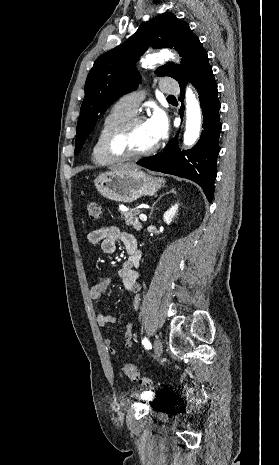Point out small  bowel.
<instances>
[{"instance_id": "c3829d8e", "label": "small bowel", "mask_w": 279, "mask_h": 465, "mask_svg": "<svg viewBox=\"0 0 279 465\" xmlns=\"http://www.w3.org/2000/svg\"><path fill=\"white\" fill-rule=\"evenodd\" d=\"M87 242L89 245L100 244L104 253L112 254L116 251L117 243H123L128 258L119 267L116 278L121 280L125 290L129 293H136L139 291L140 273L138 266L141 258V252L138 249L136 238L120 230L113 225H106L99 229L91 231L87 235ZM111 282V278H102L98 283L94 284L89 290V296L93 300H99L105 293ZM115 317L109 313L99 314L97 316V323L101 327L114 324ZM133 326L127 323L123 334V346L126 349L132 347ZM106 347L110 354H116V349L112 347V341L109 338L104 340Z\"/></svg>"}]
</instances>
